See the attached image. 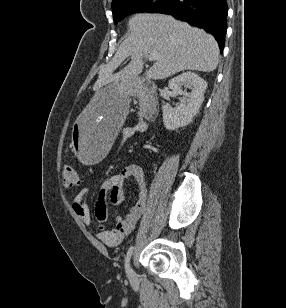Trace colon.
Returning a JSON list of instances; mask_svg holds the SVG:
<instances>
[{"label":"colon","mask_w":286,"mask_h":308,"mask_svg":"<svg viewBox=\"0 0 286 308\" xmlns=\"http://www.w3.org/2000/svg\"><path fill=\"white\" fill-rule=\"evenodd\" d=\"M62 181L66 186L74 187L80 183V177L73 167L66 166L62 170Z\"/></svg>","instance_id":"5ec220e1"}]
</instances>
